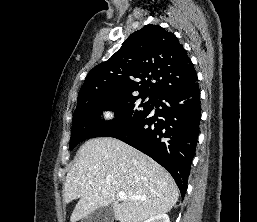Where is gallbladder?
I'll use <instances>...</instances> for the list:
<instances>
[{"label":"gallbladder","mask_w":257,"mask_h":222,"mask_svg":"<svg viewBox=\"0 0 257 222\" xmlns=\"http://www.w3.org/2000/svg\"><path fill=\"white\" fill-rule=\"evenodd\" d=\"M114 211L111 206L100 207L86 216L81 222H113Z\"/></svg>","instance_id":"bac80fb5"}]
</instances>
